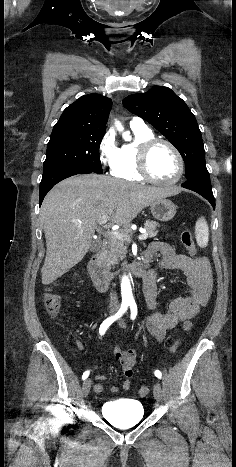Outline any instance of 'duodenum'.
Wrapping results in <instances>:
<instances>
[{"instance_id": "410a0bca", "label": "duodenum", "mask_w": 236, "mask_h": 467, "mask_svg": "<svg viewBox=\"0 0 236 467\" xmlns=\"http://www.w3.org/2000/svg\"><path fill=\"white\" fill-rule=\"evenodd\" d=\"M107 243L102 240L95 251L91 254L87 262V270L93 279L96 287L101 292H106L110 289L114 281V275L106 268L104 264V255ZM126 272L138 277H143L144 280L152 279L153 274L147 264L143 260L131 262L126 267Z\"/></svg>"}]
</instances>
